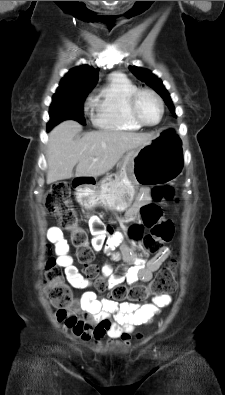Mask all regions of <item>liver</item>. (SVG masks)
<instances>
[{
  "label": "liver",
  "instance_id": "obj_1",
  "mask_svg": "<svg viewBox=\"0 0 225 395\" xmlns=\"http://www.w3.org/2000/svg\"><path fill=\"white\" fill-rule=\"evenodd\" d=\"M82 126L73 120L58 124L49 134L47 184L73 177L96 178L110 171L124 153L149 144L155 135L122 131H93L74 137ZM96 159V160H94Z\"/></svg>",
  "mask_w": 225,
  "mask_h": 395
}]
</instances>
